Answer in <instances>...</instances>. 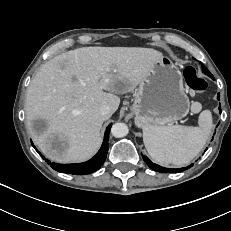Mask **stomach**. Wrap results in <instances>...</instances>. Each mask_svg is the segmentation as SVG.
I'll return each mask as SVG.
<instances>
[{
    "label": "stomach",
    "instance_id": "1",
    "mask_svg": "<svg viewBox=\"0 0 231 231\" xmlns=\"http://www.w3.org/2000/svg\"><path fill=\"white\" fill-rule=\"evenodd\" d=\"M190 102L176 65L163 56L139 84L131 111L138 127L168 126L185 117Z\"/></svg>",
    "mask_w": 231,
    "mask_h": 231
}]
</instances>
